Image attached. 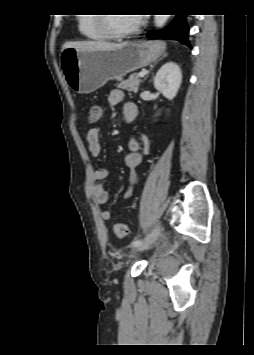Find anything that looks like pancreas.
Masks as SVG:
<instances>
[{
	"label": "pancreas",
	"mask_w": 254,
	"mask_h": 355,
	"mask_svg": "<svg viewBox=\"0 0 254 355\" xmlns=\"http://www.w3.org/2000/svg\"><path fill=\"white\" fill-rule=\"evenodd\" d=\"M118 81H120L119 84H117V87L120 89L127 90L128 92H134L137 93L139 89V84L141 82L139 75H131L129 79L127 80H122L121 78H117Z\"/></svg>",
	"instance_id": "obj_1"
}]
</instances>
